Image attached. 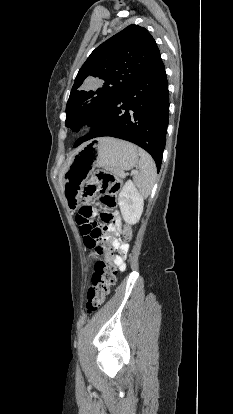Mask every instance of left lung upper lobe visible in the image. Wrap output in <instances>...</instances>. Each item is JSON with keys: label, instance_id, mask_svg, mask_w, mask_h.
<instances>
[{"label": "left lung upper lobe", "instance_id": "1", "mask_svg": "<svg viewBox=\"0 0 233 414\" xmlns=\"http://www.w3.org/2000/svg\"><path fill=\"white\" fill-rule=\"evenodd\" d=\"M160 54L151 34L129 25L98 46L79 70L66 105V127L78 131L101 117ZM98 82L99 88L92 89Z\"/></svg>", "mask_w": 233, "mask_h": 414}]
</instances>
